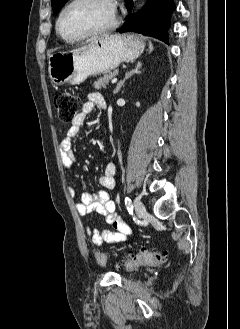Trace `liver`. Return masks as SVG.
I'll return each instance as SVG.
<instances>
[{
    "label": "liver",
    "mask_w": 240,
    "mask_h": 329,
    "mask_svg": "<svg viewBox=\"0 0 240 329\" xmlns=\"http://www.w3.org/2000/svg\"><path fill=\"white\" fill-rule=\"evenodd\" d=\"M100 38V37H99ZM99 38H92L89 40V43L81 48H78V49H75V50H72L71 52H79V51H82V50H85L87 49L88 47L92 46L94 43H96V41L99 39Z\"/></svg>",
    "instance_id": "liver-1"
}]
</instances>
